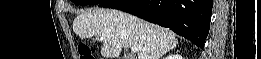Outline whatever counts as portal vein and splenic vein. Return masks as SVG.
Masks as SVG:
<instances>
[{
	"label": "portal vein and splenic vein",
	"instance_id": "1",
	"mask_svg": "<svg viewBox=\"0 0 261 59\" xmlns=\"http://www.w3.org/2000/svg\"><path fill=\"white\" fill-rule=\"evenodd\" d=\"M100 40H104V38L101 37ZM131 51H132L133 53H135V52L138 51V48H137V47H131Z\"/></svg>",
	"mask_w": 261,
	"mask_h": 59
}]
</instances>
